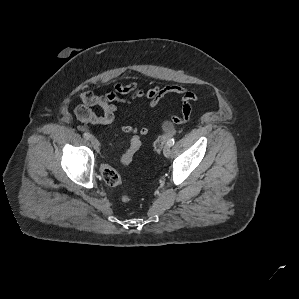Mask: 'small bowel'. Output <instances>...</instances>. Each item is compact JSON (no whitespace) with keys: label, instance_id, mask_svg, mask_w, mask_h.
Listing matches in <instances>:
<instances>
[{"label":"small bowel","instance_id":"1","mask_svg":"<svg viewBox=\"0 0 299 299\" xmlns=\"http://www.w3.org/2000/svg\"><path fill=\"white\" fill-rule=\"evenodd\" d=\"M180 96L182 99V108L180 114H174L171 122L174 124L185 123L191 114V104L197 100V96L182 86H153L148 89H142L137 81L129 83L118 82L113 90L97 95L91 91H83L79 98L81 104L76 108L77 118L84 124L110 125L116 119L117 104L129 103L138 98H145L149 101V107L155 108L161 100L166 97ZM95 107L102 109V114L94 111ZM122 130L125 133L140 136L148 134L146 127L137 129L129 124H123Z\"/></svg>","mask_w":299,"mask_h":299}]
</instances>
